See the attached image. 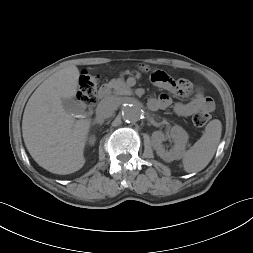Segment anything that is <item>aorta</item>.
<instances>
[{"instance_id":"1","label":"aorta","mask_w":253,"mask_h":253,"mask_svg":"<svg viewBox=\"0 0 253 253\" xmlns=\"http://www.w3.org/2000/svg\"><path fill=\"white\" fill-rule=\"evenodd\" d=\"M142 116V108L137 103H127L122 108V117L127 122H137Z\"/></svg>"}]
</instances>
